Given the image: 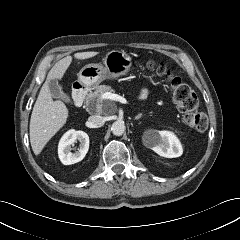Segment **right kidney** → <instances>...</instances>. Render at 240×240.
Here are the masks:
<instances>
[{
  "instance_id": "1",
  "label": "right kidney",
  "mask_w": 240,
  "mask_h": 240,
  "mask_svg": "<svg viewBox=\"0 0 240 240\" xmlns=\"http://www.w3.org/2000/svg\"><path fill=\"white\" fill-rule=\"evenodd\" d=\"M76 141L80 142L79 148L74 153L71 152V145ZM89 149V136L84 131L69 130L60 139L58 145V155L61 162L71 165L81 161Z\"/></svg>"
}]
</instances>
